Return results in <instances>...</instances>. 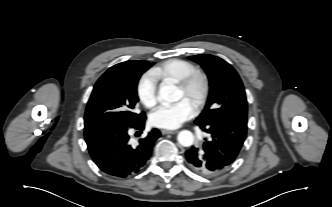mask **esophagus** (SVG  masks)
<instances>
[{
	"label": "esophagus",
	"mask_w": 332,
	"mask_h": 207,
	"mask_svg": "<svg viewBox=\"0 0 332 207\" xmlns=\"http://www.w3.org/2000/svg\"><path fill=\"white\" fill-rule=\"evenodd\" d=\"M161 133L163 135H166V134H175V133H177V131H174V130H162Z\"/></svg>",
	"instance_id": "1"
}]
</instances>
